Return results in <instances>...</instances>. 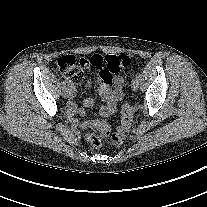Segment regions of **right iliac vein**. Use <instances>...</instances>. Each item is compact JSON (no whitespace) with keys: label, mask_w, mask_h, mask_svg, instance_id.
<instances>
[{"label":"right iliac vein","mask_w":207,"mask_h":207,"mask_svg":"<svg viewBox=\"0 0 207 207\" xmlns=\"http://www.w3.org/2000/svg\"><path fill=\"white\" fill-rule=\"evenodd\" d=\"M70 96V90L68 88H63L62 90V97L67 99Z\"/></svg>","instance_id":"63e3f726"}]
</instances>
